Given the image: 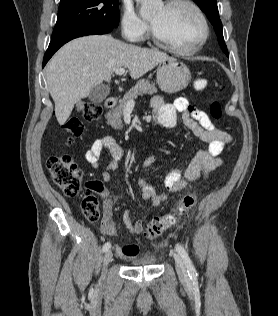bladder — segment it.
<instances>
[{
	"instance_id": "obj_1",
	"label": "bladder",
	"mask_w": 278,
	"mask_h": 316,
	"mask_svg": "<svg viewBox=\"0 0 278 316\" xmlns=\"http://www.w3.org/2000/svg\"><path fill=\"white\" fill-rule=\"evenodd\" d=\"M156 264L155 258H142L136 259L132 261V265L135 267H145V266H153Z\"/></svg>"
}]
</instances>
